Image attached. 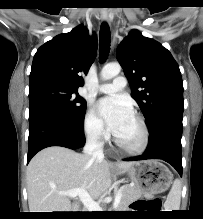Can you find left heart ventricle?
I'll list each match as a JSON object with an SVG mask.
<instances>
[{"instance_id": "obj_1", "label": "left heart ventricle", "mask_w": 203, "mask_h": 219, "mask_svg": "<svg viewBox=\"0 0 203 219\" xmlns=\"http://www.w3.org/2000/svg\"><path fill=\"white\" fill-rule=\"evenodd\" d=\"M116 137L128 146H136L142 138V131L139 123L132 115L115 133Z\"/></svg>"}]
</instances>
